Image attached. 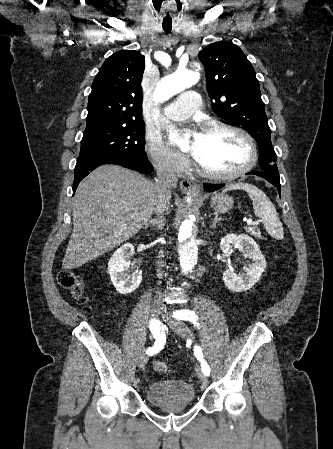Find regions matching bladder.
I'll return each mask as SVG.
<instances>
[{
    "label": "bladder",
    "instance_id": "31cf9c89",
    "mask_svg": "<svg viewBox=\"0 0 333 449\" xmlns=\"http://www.w3.org/2000/svg\"><path fill=\"white\" fill-rule=\"evenodd\" d=\"M146 398L158 408L186 407L194 403L195 390L182 380L156 381L147 387Z\"/></svg>",
    "mask_w": 333,
    "mask_h": 449
}]
</instances>
